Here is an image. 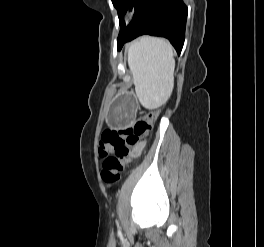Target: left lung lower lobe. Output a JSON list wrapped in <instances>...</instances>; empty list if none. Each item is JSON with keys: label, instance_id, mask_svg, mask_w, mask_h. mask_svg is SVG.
Returning a JSON list of instances; mask_svg holds the SVG:
<instances>
[{"label": "left lung lower lobe", "instance_id": "1", "mask_svg": "<svg viewBox=\"0 0 264 247\" xmlns=\"http://www.w3.org/2000/svg\"><path fill=\"white\" fill-rule=\"evenodd\" d=\"M187 7L183 0H145L132 21L117 38L118 50L124 43L143 35L169 39L180 54L185 38Z\"/></svg>", "mask_w": 264, "mask_h": 247}]
</instances>
